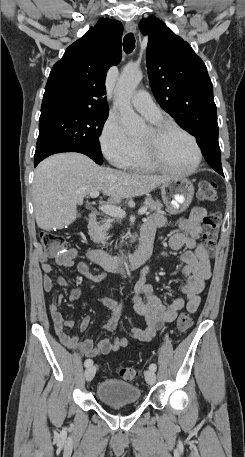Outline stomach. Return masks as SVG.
Listing matches in <instances>:
<instances>
[{"instance_id":"1","label":"stomach","mask_w":245,"mask_h":457,"mask_svg":"<svg viewBox=\"0 0 245 457\" xmlns=\"http://www.w3.org/2000/svg\"><path fill=\"white\" fill-rule=\"evenodd\" d=\"M162 198L172 214L183 212L189 206L194 186L188 178H171L169 182H163L161 186Z\"/></svg>"}]
</instances>
